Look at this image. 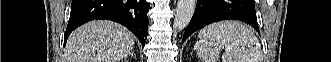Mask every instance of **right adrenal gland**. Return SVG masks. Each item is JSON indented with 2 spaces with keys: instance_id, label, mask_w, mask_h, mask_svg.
Masks as SVG:
<instances>
[{
  "instance_id": "obj_1",
  "label": "right adrenal gland",
  "mask_w": 331,
  "mask_h": 62,
  "mask_svg": "<svg viewBox=\"0 0 331 62\" xmlns=\"http://www.w3.org/2000/svg\"><path fill=\"white\" fill-rule=\"evenodd\" d=\"M129 56H131V57H133V58L136 59V56L133 54V52H131Z\"/></svg>"
}]
</instances>
